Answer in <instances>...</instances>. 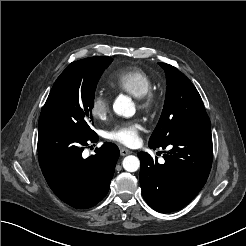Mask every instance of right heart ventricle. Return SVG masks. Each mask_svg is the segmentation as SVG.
I'll return each instance as SVG.
<instances>
[{"label":"right heart ventricle","mask_w":246,"mask_h":246,"mask_svg":"<svg viewBox=\"0 0 246 246\" xmlns=\"http://www.w3.org/2000/svg\"><path fill=\"white\" fill-rule=\"evenodd\" d=\"M110 85L118 91L139 98L152 90L153 80L144 70L128 67L114 72L110 77Z\"/></svg>","instance_id":"right-heart-ventricle-1"}]
</instances>
